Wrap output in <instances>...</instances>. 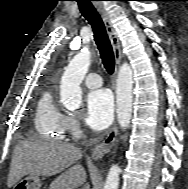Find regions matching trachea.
<instances>
[{
    "mask_svg": "<svg viewBox=\"0 0 188 189\" xmlns=\"http://www.w3.org/2000/svg\"><path fill=\"white\" fill-rule=\"evenodd\" d=\"M76 1L78 2L80 12L92 26L94 39L100 52L102 63L107 72L112 74L115 67V57L104 23L91 3L92 0Z\"/></svg>",
    "mask_w": 188,
    "mask_h": 189,
    "instance_id": "3493384b",
    "label": "trachea"
}]
</instances>
